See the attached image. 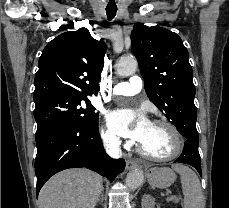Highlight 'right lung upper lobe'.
Masks as SVG:
<instances>
[{"mask_svg": "<svg viewBox=\"0 0 229 208\" xmlns=\"http://www.w3.org/2000/svg\"><path fill=\"white\" fill-rule=\"evenodd\" d=\"M106 45L86 28L68 31L50 41L39 58L34 101L57 94L97 95Z\"/></svg>", "mask_w": 229, "mask_h": 208, "instance_id": "cb5924a9", "label": "right lung upper lobe"}]
</instances>
